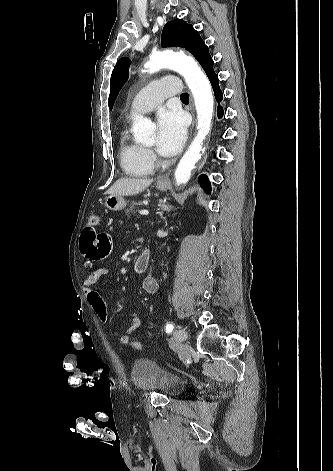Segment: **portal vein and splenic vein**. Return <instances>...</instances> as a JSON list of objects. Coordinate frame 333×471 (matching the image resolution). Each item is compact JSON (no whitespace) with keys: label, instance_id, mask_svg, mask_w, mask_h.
<instances>
[{"label":"portal vein and splenic vein","instance_id":"18ae733b","mask_svg":"<svg viewBox=\"0 0 333 471\" xmlns=\"http://www.w3.org/2000/svg\"><path fill=\"white\" fill-rule=\"evenodd\" d=\"M139 213L141 215H148L149 214L148 210H141Z\"/></svg>","mask_w":333,"mask_h":471}]
</instances>
